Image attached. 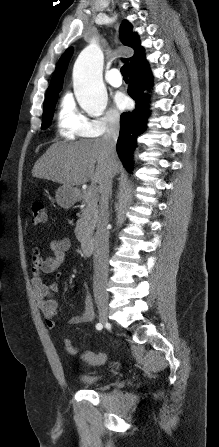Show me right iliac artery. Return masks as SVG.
I'll return each instance as SVG.
<instances>
[{"label":"right iliac artery","instance_id":"right-iliac-artery-1","mask_svg":"<svg viewBox=\"0 0 219 447\" xmlns=\"http://www.w3.org/2000/svg\"><path fill=\"white\" fill-rule=\"evenodd\" d=\"M96 328H97L98 330L101 329V328H102V324L98 323V324L96 325Z\"/></svg>","mask_w":219,"mask_h":447}]
</instances>
